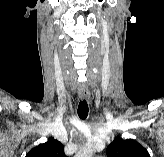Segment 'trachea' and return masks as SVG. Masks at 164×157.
<instances>
[{"label":"trachea","mask_w":164,"mask_h":157,"mask_svg":"<svg viewBox=\"0 0 164 157\" xmlns=\"http://www.w3.org/2000/svg\"><path fill=\"white\" fill-rule=\"evenodd\" d=\"M78 116L82 119L85 120L88 116L89 108L86 100L80 101L78 105Z\"/></svg>","instance_id":"obj_1"}]
</instances>
